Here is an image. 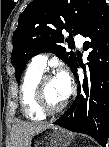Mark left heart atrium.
<instances>
[{"instance_id": "1", "label": "left heart atrium", "mask_w": 109, "mask_h": 147, "mask_svg": "<svg viewBox=\"0 0 109 147\" xmlns=\"http://www.w3.org/2000/svg\"><path fill=\"white\" fill-rule=\"evenodd\" d=\"M56 79L58 80V82L61 86V89H62V92H63L65 98H67L72 91V80H71V76H70L68 70L62 69L58 73Z\"/></svg>"}]
</instances>
